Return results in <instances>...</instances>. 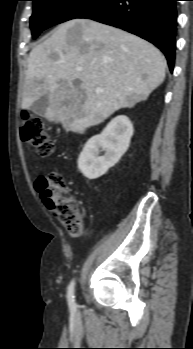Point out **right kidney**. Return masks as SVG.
Segmentation results:
<instances>
[{"instance_id":"right-kidney-1","label":"right kidney","mask_w":193,"mask_h":349,"mask_svg":"<svg viewBox=\"0 0 193 349\" xmlns=\"http://www.w3.org/2000/svg\"><path fill=\"white\" fill-rule=\"evenodd\" d=\"M133 135V125L125 115L111 120L101 134L90 138L78 157V168L88 179L104 175L127 151ZM100 149L105 151L99 156Z\"/></svg>"}]
</instances>
